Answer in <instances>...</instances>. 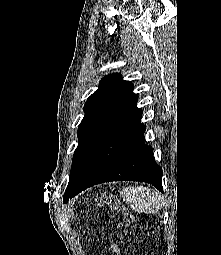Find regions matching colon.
Returning <instances> with one entry per match:
<instances>
[{
	"label": "colon",
	"instance_id": "1",
	"mask_svg": "<svg viewBox=\"0 0 221 255\" xmlns=\"http://www.w3.org/2000/svg\"><path fill=\"white\" fill-rule=\"evenodd\" d=\"M95 205L102 207L106 206L110 210L122 215L123 220L118 224L119 233H115L111 236L108 244V250L111 255H125L121 247L122 237L128 235L129 229L133 224V215L127 208L121 205L118 198L107 192H100L94 199Z\"/></svg>",
	"mask_w": 221,
	"mask_h": 255
}]
</instances>
